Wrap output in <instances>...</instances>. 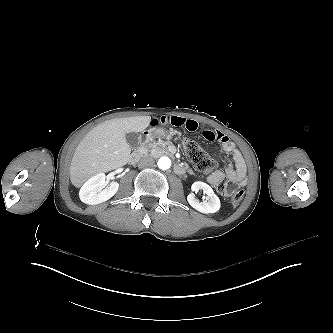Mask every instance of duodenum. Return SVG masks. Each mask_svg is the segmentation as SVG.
Wrapping results in <instances>:
<instances>
[{
  "instance_id": "obj_1",
  "label": "duodenum",
  "mask_w": 333,
  "mask_h": 333,
  "mask_svg": "<svg viewBox=\"0 0 333 333\" xmlns=\"http://www.w3.org/2000/svg\"><path fill=\"white\" fill-rule=\"evenodd\" d=\"M150 137H151L150 131L147 130V131L143 132V134L141 135V138H140L141 147L130 155V157H129L130 164H136L139 161V159L141 158V156L143 154L142 146L145 145L149 141ZM174 168L178 174H183L185 172V167L182 164L177 163Z\"/></svg>"
}]
</instances>
